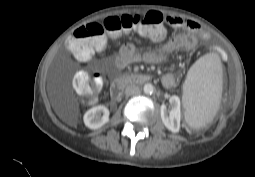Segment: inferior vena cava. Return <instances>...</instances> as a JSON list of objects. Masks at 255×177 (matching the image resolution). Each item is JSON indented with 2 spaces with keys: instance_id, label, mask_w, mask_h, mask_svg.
Here are the masks:
<instances>
[{
  "instance_id": "obj_1",
  "label": "inferior vena cava",
  "mask_w": 255,
  "mask_h": 177,
  "mask_svg": "<svg viewBox=\"0 0 255 177\" xmlns=\"http://www.w3.org/2000/svg\"><path fill=\"white\" fill-rule=\"evenodd\" d=\"M140 93V89L136 85H129L125 89L126 96L138 95Z\"/></svg>"
}]
</instances>
